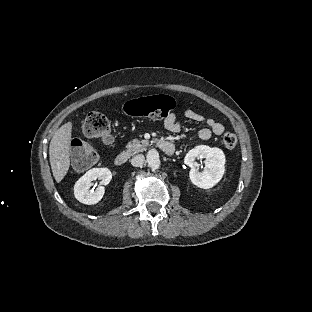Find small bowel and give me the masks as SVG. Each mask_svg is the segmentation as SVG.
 <instances>
[{
  "mask_svg": "<svg viewBox=\"0 0 312 312\" xmlns=\"http://www.w3.org/2000/svg\"><path fill=\"white\" fill-rule=\"evenodd\" d=\"M184 117L191 122H204L206 124L207 127L201 129L198 133L202 140H208L212 135L219 136L224 133V125L221 122L213 118L205 117L201 113H198L192 109H187L184 112ZM163 126L168 132L175 134L181 131L182 122L174 112H170L167 117L164 118Z\"/></svg>",
  "mask_w": 312,
  "mask_h": 312,
  "instance_id": "small-bowel-1",
  "label": "small bowel"
}]
</instances>
